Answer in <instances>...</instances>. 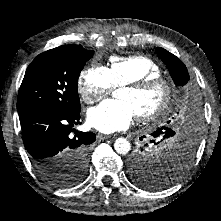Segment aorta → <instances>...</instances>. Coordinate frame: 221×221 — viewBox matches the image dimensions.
<instances>
[{
    "label": "aorta",
    "instance_id": "1",
    "mask_svg": "<svg viewBox=\"0 0 221 221\" xmlns=\"http://www.w3.org/2000/svg\"><path fill=\"white\" fill-rule=\"evenodd\" d=\"M114 149L118 154L126 155L130 151L131 145L127 139L118 138L114 143Z\"/></svg>",
    "mask_w": 221,
    "mask_h": 221
}]
</instances>
